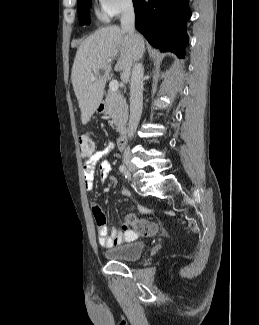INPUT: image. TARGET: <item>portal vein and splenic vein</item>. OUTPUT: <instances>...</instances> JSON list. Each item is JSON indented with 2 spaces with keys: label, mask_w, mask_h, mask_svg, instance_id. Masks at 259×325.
Returning <instances> with one entry per match:
<instances>
[{
  "label": "portal vein and splenic vein",
  "mask_w": 259,
  "mask_h": 325,
  "mask_svg": "<svg viewBox=\"0 0 259 325\" xmlns=\"http://www.w3.org/2000/svg\"><path fill=\"white\" fill-rule=\"evenodd\" d=\"M96 78L93 76L92 77V81H94ZM118 88H119V82L117 81V80H112V81H110V83H109V89L111 90V91H117L118 90Z\"/></svg>",
  "instance_id": "18ae733b"
}]
</instances>
